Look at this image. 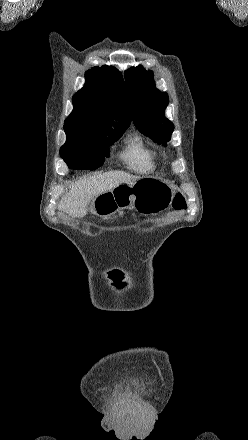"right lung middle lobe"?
Instances as JSON below:
<instances>
[{
    "instance_id": "dd1d6c3e",
    "label": "right lung middle lobe",
    "mask_w": 248,
    "mask_h": 440,
    "mask_svg": "<svg viewBox=\"0 0 248 440\" xmlns=\"http://www.w3.org/2000/svg\"><path fill=\"white\" fill-rule=\"evenodd\" d=\"M125 132L96 134L71 147L60 149L61 158L72 169L95 170L110 155L109 146L116 142Z\"/></svg>"
}]
</instances>
